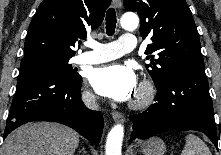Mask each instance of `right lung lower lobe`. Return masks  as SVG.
<instances>
[{"mask_svg":"<svg viewBox=\"0 0 221 155\" xmlns=\"http://www.w3.org/2000/svg\"><path fill=\"white\" fill-rule=\"evenodd\" d=\"M81 81V77L66 80L41 66L20 68L4 138L24 123L43 120L65 124L98 145L104 119L100 112L86 108L81 101Z\"/></svg>","mask_w":221,"mask_h":155,"instance_id":"right-lung-lower-lobe-1","label":"right lung lower lobe"}]
</instances>
